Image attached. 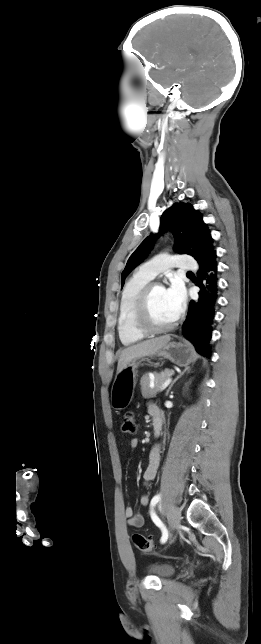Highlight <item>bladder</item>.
<instances>
[{
  "label": "bladder",
  "instance_id": "obj_1",
  "mask_svg": "<svg viewBox=\"0 0 261 644\" xmlns=\"http://www.w3.org/2000/svg\"><path fill=\"white\" fill-rule=\"evenodd\" d=\"M149 571L159 578H167L175 573V567L170 564H154L149 567Z\"/></svg>",
  "mask_w": 261,
  "mask_h": 644
}]
</instances>
